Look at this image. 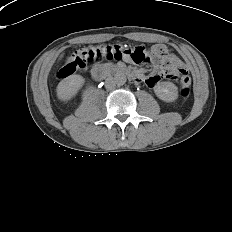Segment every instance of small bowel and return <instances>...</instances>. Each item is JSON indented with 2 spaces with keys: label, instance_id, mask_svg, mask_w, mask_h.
<instances>
[{
  "label": "small bowel",
  "instance_id": "c3829d8e",
  "mask_svg": "<svg viewBox=\"0 0 232 232\" xmlns=\"http://www.w3.org/2000/svg\"><path fill=\"white\" fill-rule=\"evenodd\" d=\"M154 47L151 49V51L154 49ZM140 48H142V47H140ZM142 49H144V48H142ZM171 56L173 57L177 67L183 68V64H182L181 60H179L177 57H175L173 55H171ZM162 74H163L162 68H161V66H158L157 69L155 70V72L151 75V77L147 78L145 81L148 84L154 85L161 80Z\"/></svg>",
  "mask_w": 232,
  "mask_h": 232
}]
</instances>
